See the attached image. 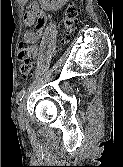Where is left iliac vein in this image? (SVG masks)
Segmentation results:
<instances>
[{
  "instance_id": "obj_1",
  "label": "left iliac vein",
  "mask_w": 123,
  "mask_h": 167,
  "mask_svg": "<svg viewBox=\"0 0 123 167\" xmlns=\"http://www.w3.org/2000/svg\"><path fill=\"white\" fill-rule=\"evenodd\" d=\"M17 113H18V121L20 123H23L24 122V116H23V105L22 103H19L18 104V107H17Z\"/></svg>"
}]
</instances>
